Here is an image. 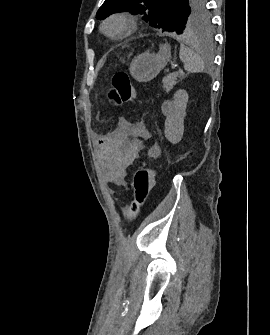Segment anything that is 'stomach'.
Wrapping results in <instances>:
<instances>
[{"label":"stomach","instance_id":"0dacf381","mask_svg":"<svg viewBox=\"0 0 270 335\" xmlns=\"http://www.w3.org/2000/svg\"><path fill=\"white\" fill-rule=\"evenodd\" d=\"M169 58H171L170 46L165 44L157 54L144 52L140 56H135L129 64V72L137 82H150L165 68Z\"/></svg>","mask_w":270,"mask_h":335}]
</instances>
